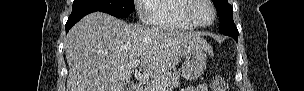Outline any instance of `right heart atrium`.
I'll use <instances>...</instances> for the list:
<instances>
[{
  "label": "right heart atrium",
  "mask_w": 304,
  "mask_h": 91,
  "mask_svg": "<svg viewBox=\"0 0 304 91\" xmlns=\"http://www.w3.org/2000/svg\"><path fill=\"white\" fill-rule=\"evenodd\" d=\"M148 2H149V0H139V1H137L139 13H140L142 19H145V18H146L145 13H144L142 7H143L144 4H146V3H148ZM147 13H148V12H147Z\"/></svg>",
  "instance_id": "1"
}]
</instances>
